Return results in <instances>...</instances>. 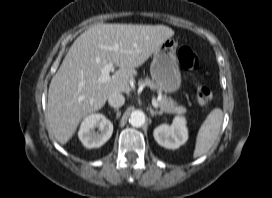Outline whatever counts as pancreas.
<instances>
[{
    "label": "pancreas",
    "instance_id": "pancreas-1",
    "mask_svg": "<svg viewBox=\"0 0 272 198\" xmlns=\"http://www.w3.org/2000/svg\"><path fill=\"white\" fill-rule=\"evenodd\" d=\"M138 83L139 85H147L151 89L156 88L154 83L148 77L139 80ZM158 105L160 107L161 112H165L168 114H184L187 112V109L185 107L178 106L174 100H172L170 97H167L166 95L162 96V98L158 101Z\"/></svg>",
    "mask_w": 272,
    "mask_h": 198
}]
</instances>
